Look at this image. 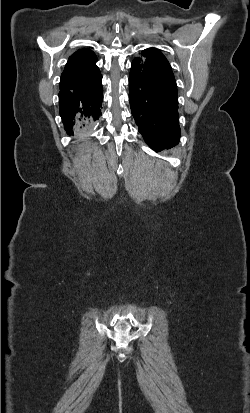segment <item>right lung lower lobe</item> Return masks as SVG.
Wrapping results in <instances>:
<instances>
[{
	"instance_id": "obj_1",
	"label": "right lung lower lobe",
	"mask_w": 250,
	"mask_h": 413,
	"mask_svg": "<svg viewBox=\"0 0 250 413\" xmlns=\"http://www.w3.org/2000/svg\"><path fill=\"white\" fill-rule=\"evenodd\" d=\"M102 75L94 76L78 85H60L59 108L68 135L86 133L99 119L103 101Z\"/></svg>"
}]
</instances>
